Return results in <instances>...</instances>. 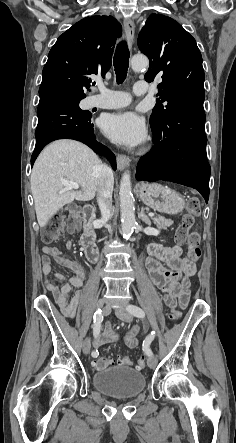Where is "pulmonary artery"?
<instances>
[{
	"label": "pulmonary artery",
	"mask_w": 236,
	"mask_h": 443,
	"mask_svg": "<svg viewBox=\"0 0 236 443\" xmlns=\"http://www.w3.org/2000/svg\"><path fill=\"white\" fill-rule=\"evenodd\" d=\"M96 87L100 94L114 95L115 99L110 101L100 100L98 95L90 96L87 99L88 108H102V109H115L128 105L131 101V97L128 93L122 91H114L104 86L103 83L98 82ZM148 91V84L145 81H138L133 86V92L136 95H144Z\"/></svg>",
	"instance_id": "pulmonary-artery-1"
}]
</instances>
